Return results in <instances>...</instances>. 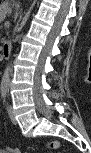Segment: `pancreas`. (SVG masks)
<instances>
[{
    "label": "pancreas",
    "mask_w": 91,
    "mask_h": 153,
    "mask_svg": "<svg viewBox=\"0 0 91 153\" xmlns=\"http://www.w3.org/2000/svg\"><path fill=\"white\" fill-rule=\"evenodd\" d=\"M1 16L4 17L7 13L11 12V8L9 7V5L7 3H3L1 5Z\"/></svg>",
    "instance_id": "pancreas-1"
}]
</instances>
